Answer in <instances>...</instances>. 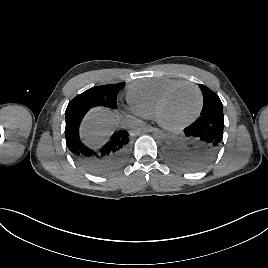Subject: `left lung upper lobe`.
Instances as JSON below:
<instances>
[{"label": "left lung upper lobe", "mask_w": 268, "mask_h": 268, "mask_svg": "<svg viewBox=\"0 0 268 268\" xmlns=\"http://www.w3.org/2000/svg\"><path fill=\"white\" fill-rule=\"evenodd\" d=\"M199 87L202 90L204 98L201 117L209 114H223L222 102L218 95L202 84H200Z\"/></svg>", "instance_id": "1"}]
</instances>
